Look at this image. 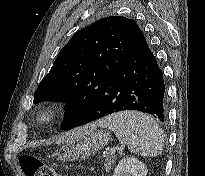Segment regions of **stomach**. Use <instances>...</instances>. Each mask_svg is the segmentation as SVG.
Returning a JSON list of instances; mask_svg holds the SVG:
<instances>
[{"mask_svg": "<svg viewBox=\"0 0 205 176\" xmlns=\"http://www.w3.org/2000/svg\"><path fill=\"white\" fill-rule=\"evenodd\" d=\"M96 127V124L87 125L78 138L65 143L57 153L58 159L64 162L85 159L104 148L110 140V134Z\"/></svg>", "mask_w": 205, "mask_h": 176, "instance_id": "0dacf381", "label": "stomach"}]
</instances>
